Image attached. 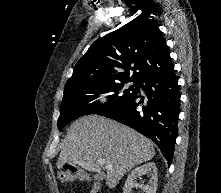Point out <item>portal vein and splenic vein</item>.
Returning <instances> with one entry per match:
<instances>
[{"instance_id":"obj_1","label":"portal vein and splenic vein","mask_w":221,"mask_h":193,"mask_svg":"<svg viewBox=\"0 0 221 193\" xmlns=\"http://www.w3.org/2000/svg\"><path fill=\"white\" fill-rule=\"evenodd\" d=\"M98 162L100 163V164H105V161L104 160H98ZM105 167H106V169L107 170H112V166L111 165H105Z\"/></svg>"}]
</instances>
